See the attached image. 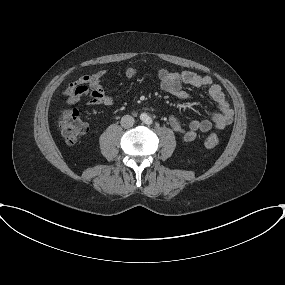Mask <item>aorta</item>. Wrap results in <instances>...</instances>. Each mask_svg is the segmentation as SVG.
Here are the masks:
<instances>
[{
	"mask_svg": "<svg viewBox=\"0 0 285 285\" xmlns=\"http://www.w3.org/2000/svg\"><path fill=\"white\" fill-rule=\"evenodd\" d=\"M140 119L145 122L146 124L150 123L152 120H151V117L149 115H147L146 113H142L141 116H140Z\"/></svg>",
	"mask_w": 285,
	"mask_h": 285,
	"instance_id": "762f6f07",
	"label": "aorta"
}]
</instances>
